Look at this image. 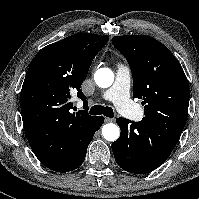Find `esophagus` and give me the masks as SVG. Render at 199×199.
Segmentation results:
<instances>
[{
    "label": "esophagus",
    "instance_id": "34e87169",
    "mask_svg": "<svg viewBox=\"0 0 199 199\" xmlns=\"http://www.w3.org/2000/svg\"><path fill=\"white\" fill-rule=\"evenodd\" d=\"M113 121H114L113 118H109V117H106V118H105V122H113Z\"/></svg>",
    "mask_w": 199,
    "mask_h": 199
}]
</instances>
